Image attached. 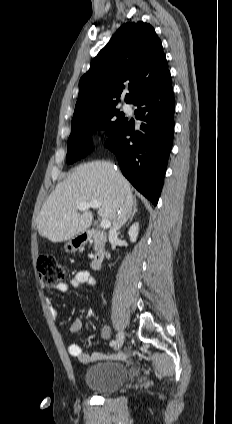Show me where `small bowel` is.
<instances>
[{"label":"small bowel","instance_id":"small-bowel-1","mask_svg":"<svg viewBox=\"0 0 232 424\" xmlns=\"http://www.w3.org/2000/svg\"><path fill=\"white\" fill-rule=\"evenodd\" d=\"M90 286L93 287L96 285V279L94 276L87 270L77 271L73 278L70 280V283H59L55 286V289L60 293H67L72 288H79L81 286ZM46 304L52 315L56 318L61 317V313L54 307L50 298H46ZM82 321L79 318H75L71 323L69 330L74 335H79L82 331ZM112 331L110 327H103L101 330V338L108 340L111 338ZM68 353L77 358L81 363L87 364L93 361L99 360L105 356V354L100 352L89 353L83 350V347L76 342H73L68 345ZM123 354H119L118 357H122Z\"/></svg>","mask_w":232,"mask_h":424}]
</instances>
